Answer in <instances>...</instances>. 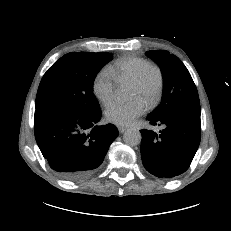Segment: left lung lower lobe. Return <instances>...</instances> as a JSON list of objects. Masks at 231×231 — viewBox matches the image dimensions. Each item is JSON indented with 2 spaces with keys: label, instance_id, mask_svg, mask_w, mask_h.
I'll use <instances>...</instances> for the list:
<instances>
[{
  "label": "left lung lower lobe",
  "instance_id": "left-lung-lower-lobe-1",
  "mask_svg": "<svg viewBox=\"0 0 231 231\" xmlns=\"http://www.w3.org/2000/svg\"><path fill=\"white\" fill-rule=\"evenodd\" d=\"M162 125L158 133L141 130V157L145 169L159 178H172L190 166L201 140L200 111L187 110L163 117L146 118Z\"/></svg>",
  "mask_w": 231,
  "mask_h": 231
}]
</instances>
